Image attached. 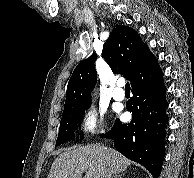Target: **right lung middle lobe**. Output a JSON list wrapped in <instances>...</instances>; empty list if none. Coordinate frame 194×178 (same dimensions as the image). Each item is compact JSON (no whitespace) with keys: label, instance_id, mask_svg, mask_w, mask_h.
Masks as SVG:
<instances>
[{"label":"right lung middle lobe","instance_id":"right-lung-middle-lobe-1","mask_svg":"<svg viewBox=\"0 0 194 178\" xmlns=\"http://www.w3.org/2000/svg\"><path fill=\"white\" fill-rule=\"evenodd\" d=\"M89 106L90 104L82 108L63 113L58 138L56 140V146L74 138L75 126L83 116L85 110L89 108Z\"/></svg>","mask_w":194,"mask_h":178}]
</instances>
